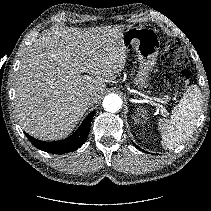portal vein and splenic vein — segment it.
Here are the masks:
<instances>
[{
  "mask_svg": "<svg viewBox=\"0 0 211 211\" xmlns=\"http://www.w3.org/2000/svg\"><path fill=\"white\" fill-rule=\"evenodd\" d=\"M147 99L149 100V102L155 106L157 109H159L161 112H166V109L163 107V105L157 103L159 102L160 100L157 99V98H153V97H149L147 96Z\"/></svg>",
  "mask_w": 211,
  "mask_h": 211,
  "instance_id": "portal-vein-and-splenic-vein-1",
  "label": "portal vein and splenic vein"
}]
</instances>
